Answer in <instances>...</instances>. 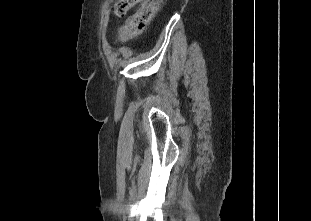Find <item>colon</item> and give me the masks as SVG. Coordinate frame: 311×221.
Wrapping results in <instances>:
<instances>
[{
	"label": "colon",
	"instance_id": "colon-1",
	"mask_svg": "<svg viewBox=\"0 0 311 221\" xmlns=\"http://www.w3.org/2000/svg\"><path fill=\"white\" fill-rule=\"evenodd\" d=\"M164 0H143L136 13L130 15L126 23L119 30V40L126 41L142 33L151 20L158 13ZM138 0L112 1L113 17H125L135 7Z\"/></svg>",
	"mask_w": 311,
	"mask_h": 221
}]
</instances>
